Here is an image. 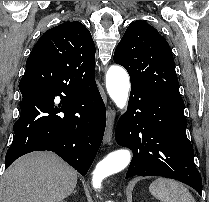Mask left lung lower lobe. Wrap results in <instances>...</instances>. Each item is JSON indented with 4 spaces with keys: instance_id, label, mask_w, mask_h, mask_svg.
<instances>
[{
    "instance_id": "1",
    "label": "left lung lower lobe",
    "mask_w": 209,
    "mask_h": 202,
    "mask_svg": "<svg viewBox=\"0 0 209 202\" xmlns=\"http://www.w3.org/2000/svg\"><path fill=\"white\" fill-rule=\"evenodd\" d=\"M184 101L131 85L128 109L116 126L119 145L133 151L126 179L162 176L181 181L202 195V179L186 135Z\"/></svg>"
}]
</instances>
